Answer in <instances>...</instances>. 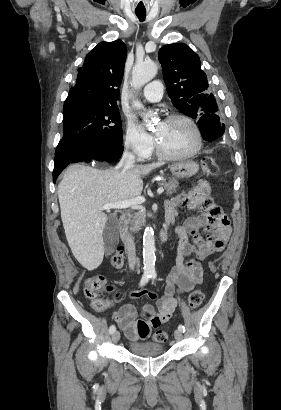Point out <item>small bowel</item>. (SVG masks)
<instances>
[{
	"label": "small bowel",
	"instance_id": "obj_1",
	"mask_svg": "<svg viewBox=\"0 0 281 410\" xmlns=\"http://www.w3.org/2000/svg\"><path fill=\"white\" fill-rule=\"evenodd\" d=\"M208 192V184L200 180L191 193L178 195L165 203L166 224L174 226L178 236L176 263L166 276L163 297L158 298L156 292L146 288L127 292L131 298L157 299L156 308L152 304H144L140 319L131 304H123L115 313V321L129 340H146L152 327L167 322L177 307L174 295L189 292L202 282L201 260L224 249L231 235V227L229 220L223 216L200 213L187 217L182 224L176 223L179 209L189 212L197 210Z\"/></svg>",
	"mask_w": 281,
	"mask_h": 410
}]
</instances>
